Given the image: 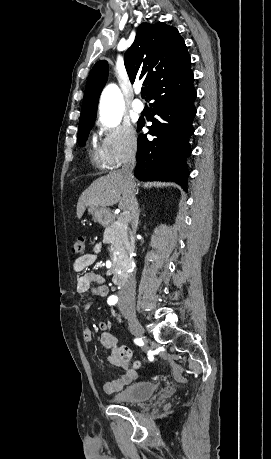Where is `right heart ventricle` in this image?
I'll list each match as a JSON object with an SVG mask.
<instances>
[{"mask_svg":"<svg viewBox=\"0 0 271 459\" xmlns=\"http://www.w3.org/2000/svg\"><path fill=\"white\" fill-rule=\"evenodd\" d=\"M91 159L95 164H99L98 154L95 151H91Z\"/></svg>","mask_w":271,"mask_h":459,"instance_id":"right-heart-ventricle-1","label":"right heart ventricle"}]
</instances>
